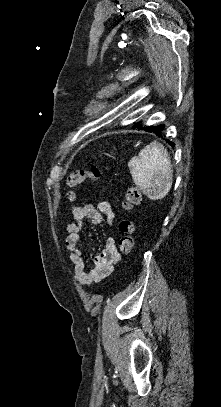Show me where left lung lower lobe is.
Wrapping results in <instances>:
<instances>
[{
    "label": "left lung lower lobe",
    "instance_id": "obj_1",
    "mask_svg": "<svg viewBox=\"0 0 221 407\" xmlns=\"http://www.w3.org/2000/svg\"><path fill=\"white\" fill-rule=\"evenodd\" d=\"M134 128H137L138 130L144 129L145 131L148 132H153L155 133L157 136H162V132H163V128L165 127V125H158V126H144L141 124V122H138L136 125L133 126ZM169 142V140H168ZM171 144V143H170ZM174 145V144H172Z\"/></svg>",
    "mask_w": 221,
    "mask_h": 407
}]
</instances>
